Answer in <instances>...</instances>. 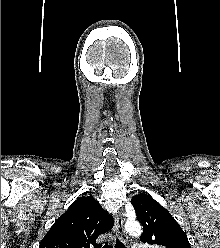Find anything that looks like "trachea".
Masks as SVG:
<instances>
[{
  "label": "trachea",
  "mask_w": 220,
  "mask_h": 248,
  "mask_svg": "<svg viewBox=\"0 0 220 248\" xmlns=\"http://www.w3.org/2000/svg\"><path fill=\"white\" fill-rule=\"evenodd\" d=\"M103 248H126V247L118 238H116V243H115L114 247H113V245H110L107 242V243H105Z\"/></svg>",
  "instance_id": "1"
}]
</instances>
